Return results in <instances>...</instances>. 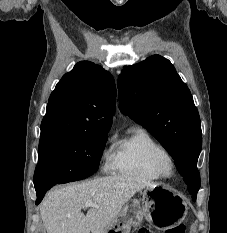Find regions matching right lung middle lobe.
<instances>
[{
  "label": "right lung middle lobe",
  "mask_w": 227,
  "mask_h": 233,
  "mask_svg": "<svg viewBox=\"0 0 227 233\" xmlns=\"http://www.w3.org/2000/svg\"><path fill=\"white\" fill-rule=\"evenodd\" d=\"M107 139L108 131L57 130L42 133L34 173L35 189L91 176L98 170Z\"/></svg>",
  "instance_id": "dd1d6c3e"
}]
</instances>
